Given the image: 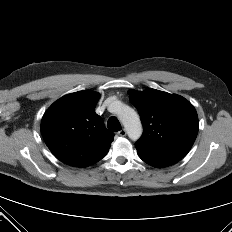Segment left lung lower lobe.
Wrapping results in <instances>:
<instances>
[{"instance_id": "obj_1", "label": "left lung lower lobe", "mask_w": 232, "mask_h": 232, "mask_svg": "<svg viewBox=\"0 0 232 232\" xmlns=\"http://www.w3.org/2000/svg\"><path fill=\"white\" fill-rule=\"evenodd\" d=\"M144 162L147 164L157 167V168H163L167 167L170 165H173L177 163L181 158H162V159H157V158H148V157H143L139 156Z\"/></svg>"}]
</instances>
